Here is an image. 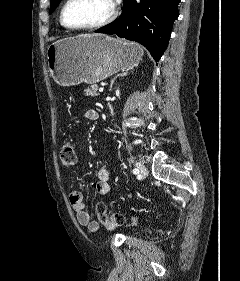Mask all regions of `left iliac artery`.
<instances>
[{
    "instance_id": "1",
    "label": "left iliac artery",
    "mask_w": 240,
    "mask_h": 281,
    "mask_svg": "<svg viewBox=\"0 0 240 281\" xmlns=\"http://www.w3.org/2000/svg\"><path fill=\"white\" fill-rule=\"evenodd\" d=\"M134 174H139V170L137 168L133 169Z\"/></svg>"
}]
</instances>
